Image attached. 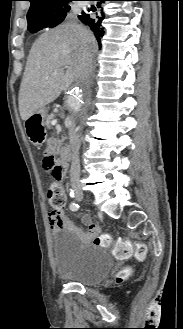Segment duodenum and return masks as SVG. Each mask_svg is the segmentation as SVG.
Masks as SVG:
<instances>
[{"label":"duodenum","mask_w":183,"mask_h":329,"mask_svg":"<svg viewBox=\"0 0 183 329\" xmlns=\"http://www.w3.org/2000/svg\"><path fill=\"white\" fill-rule=\"evenodd\" d=\"M63 163H68L72 159V150L70 147H63L60 152Z\"/></svg>","instance_id":"1"}]
</instances>
